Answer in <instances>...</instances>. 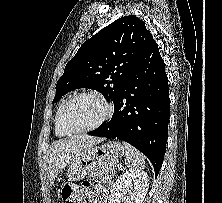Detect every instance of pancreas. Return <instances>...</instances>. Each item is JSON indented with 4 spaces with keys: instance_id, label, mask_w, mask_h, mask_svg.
I'll return each instance as SVG.
<instances>
[{
    "instance_id": "pancreas-1",
    "label": "pancreas",
    "mask_w": 222,
    "mask_h": 203,
    "mask_svg": "<svg viewBox=\"0 0 222 203\" xmlns=\"http://www.w3.org/2000/svg\"><path fill=\"white\" fill-rule=\"evenodd\" d=\"M117 164L116 160L104 161L92 172L91 176H112L115 173Z\"/></svg>"
}]
</instances>
